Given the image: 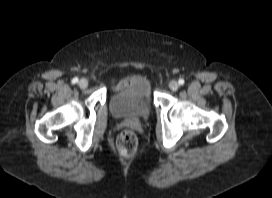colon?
<instances>
[{
	"mask_svg": "<svg viewBox=\"0 0 272 198\" xmlns=\"http://www.w3.org/2000/svg\"><path fill=\"white\" fill-rule=\"evenodd\" d=\"M138 147L136 134L131 130L122 131L116 139V148L120 156L129 158L133 156Z\"/></svg>",
	"mask_w": 272,
	"mask_h": 198,
	"instance_id": "colon-1",
	"label": "colon"
}]
</instances>
